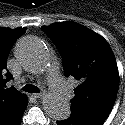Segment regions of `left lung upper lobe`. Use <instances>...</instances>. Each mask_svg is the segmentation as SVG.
Segmentation results:
<instances>
[{
    "label": "left lung upper lobe",
    "instance_id": "left-lung-upper-lobe-1",
    "mask_svg": "<svg viewBox=\"0 0 125 125\" xmlns=\"http://www.w3.org/2000/svg\"><path fill=\"white\" fill-rule=\"evenodd\" d=\"M42 29L61 54L65 76L78 80L72 113L105 121L119 88L116 59L107 41L74 22L53 23Z\"/></svg>",
    "mask_w": 125,
    "mask_h": 125
}]
</instances>
